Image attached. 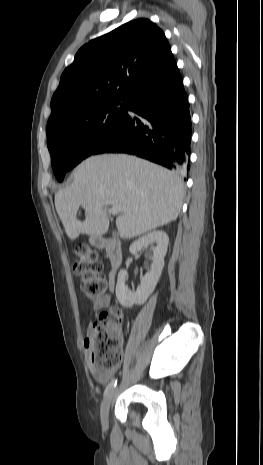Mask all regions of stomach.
I'll return each instance as SVG.
<instances>
[{"label":"stomach","mask_w":263,"mask_h":465,"mask_svg":"<svg viewBox=\"0 0 263 465\" xmlns=\"http://www.w3.org/2000/svg\"><path fill=\"white\" fill-rule=\"evenodd\" d=\"M91 242H95V238H94V237L91 238Z\"/></svg>","instance_id":"0dacf381"}]
</instances>
